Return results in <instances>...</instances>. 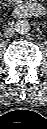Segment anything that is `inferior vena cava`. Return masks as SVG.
<instances>
[{"mask_svg": "<svg viewBox=\"0 0 47 129\" xmlns=\"http://www.w3.org/2000/svg\"><path fill=\"white\" fill-rule=\"evenodd\" d=\"M14 34V29L13 28H9L6 30L5 36L6 37H11Z\"/></svg>", "mask_w": 47, "mask_h": 129, "instance_id": "inferior-vena-cava-1", "label": "inferior vena cava"}]
</instances>
